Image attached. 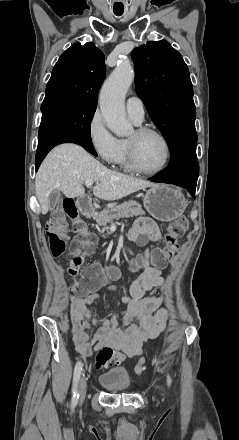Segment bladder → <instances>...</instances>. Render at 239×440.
Here are the masks:
<instances>
[{"label":"bladder","instance_id":"31cf9c89","mask_svg":"<svg viewBox=\"0 0 239 440\" xmlns=\"http://www.w3.org/2000/svg\"><path fill=\"white\" fill-rule=\"evenodd\" d=\"M100 384L108 391L123 392L131 386V379L125 369H112L99 378Z\"/></svg>","mask_w":239,"mask_h":440}]
</instances>
